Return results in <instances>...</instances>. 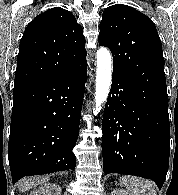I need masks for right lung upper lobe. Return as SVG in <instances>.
I'll return each mask as SVG.
<instances>
[{
    "mask_svg": "<svg viewBox=\"0 0 178 195\" xmlns=\"http://www.w3.org/2000/svg\"><path fill=\"white\" fill-rule=\"evenodd\" d=\"M83 30L73 14L54 7L29 23L20 41L15 83L67 75L86 61Z\"/></svg>",
    "mask_w": 178,
    "mask_h": 195,
    "instance_id": "right-lung-upper-lobe-1",
    "label": "right lung upper lobe"
}]
</instances>
